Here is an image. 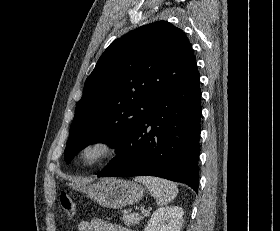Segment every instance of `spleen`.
Instances as JSON below:
<instances>
[{"instance_id": "1", "label": "spleen", "mask_w": 280, "mask_h": 231, "mask_svg": "<svg viewBox=\"0 0 280 231\" xmlns=\"http://www.w3.org/2000/svg\"><path fill=\"white\" fill-rule=\"evenodd\" d=\"M135 181H141L148 187L150 193L155 197L158 205H167L178 193V187L173 181L162 179V177H152V175H139L134 177Z\"/></svg>"}]
</instances>
